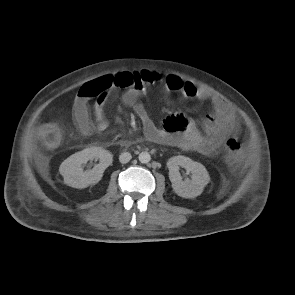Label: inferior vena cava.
I'll list each match as a JSON object with an SVG mask.
<instances>
[{"mask_svg": "<svg viewBox=\"0 0 295 295\" xmlns=\"http://www.w3.org/2000/svg\"><path fill=\"white\" fill-rule=\"evenodd\" d=\"M131 158H132V156H131L130 153H128V152H123V153H121V155L119 156V161H120L121 163H127V162H129V161L131 160Z\"/></svg>", "mask_w": 295, "mask_h": 295, "instance_id": "602c4592", "label": "inferior vena cava"}]
</instances>
